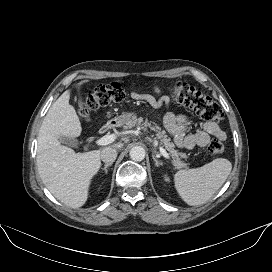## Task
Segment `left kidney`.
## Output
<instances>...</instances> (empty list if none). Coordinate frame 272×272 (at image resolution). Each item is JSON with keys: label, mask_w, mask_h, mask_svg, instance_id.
<instances>
[{"label": "left kidney", "mask_w": 272, "mask_h": 272, "mask_svg": "<svg viewBox=\"0 0 272 272\" xmlns=\"http://www.w3.org/2000/svg\"><path fill=\"white\" fill-rule=\"evenodd\" d=\"M164 178H165V181H169V178L166 175H165Z\"/></svg>", "instance_id": "1"}]
</instances>
